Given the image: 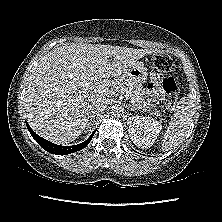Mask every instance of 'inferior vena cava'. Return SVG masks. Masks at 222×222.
Instances as JSON below:
<instances>
[{"mask_svg":"<svg viewBox=\"0 0 222 222\" xmlns=\"http://www.w3.org/2000/svg\"><path fill=\"white\" fill-rule=\"evenodd\" d=\"M108 100L105 97L96 99L90 106V111L93 114H99L107 108Z\"/></svg>","mask_w":222,"mask_h":222,"instance_id":"602c4592","label":"inferior vena cava"}]
</instances>
